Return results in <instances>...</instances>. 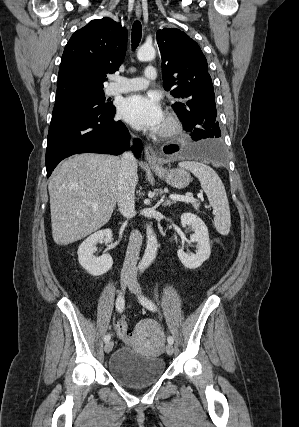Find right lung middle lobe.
<instances>
[{"instance_id":"dd1d6c3e","label":"right lung middle lobe","mask_w":299,"mask_h":427,"mask_svg":"<svg viewBox=\"0 0 299 427\" xmlns=\"http://www.w3.org/2000/svg\"><path fill=\"white\" fill-rule=\"evenodd\" d=\"M104 102V92L73 97L56 102L53 109V115H58L73 109H88L90 111L101 112H111L115 110V107L111 103Z\"/></svg>"}]
</instances>
